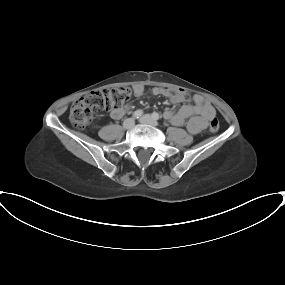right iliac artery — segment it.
<instances>
[{
	"instance_id": "1",
	"label": "right iliac artery",
	"mask_w": 285,
	"mask_h": 285,
	"mask_svg": "<svg viewBox=\"0 0 285 285\" xmlns=\"http://www.w3.org/2000/svg\"><path fill=\"white\" fill-rule=\"evenodd\" d=\"M143 114V111L142 110H136L134 113H133V118L135 119H138L139 117H141Z\"/></svg>"
}]
</instances>
